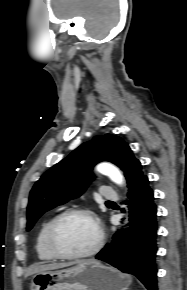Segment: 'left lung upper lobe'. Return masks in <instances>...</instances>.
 Returning <instances> with one entry per match:
<instances>
[{
  "label": "left lung upper lobe",
  "mask_w": 187,
  "mask_h": 290,
  "mask_svg": "<svg viewBox=\"0 0 187 290\" xmlns=\"http://www.w3.org/2000/svg\"><path fill=\"white\" fill-rule=\"evenodd\" d=\"M101 161L120 167L129 188L143 175L140 161L123 139L112 134L95 136L50 168L35 183L27 208V231L43 213L84 193L94 178L92 167Z\"/></svg>",
  "instance_id": "5c2ea615"
}]
</instances>
